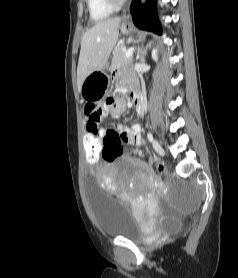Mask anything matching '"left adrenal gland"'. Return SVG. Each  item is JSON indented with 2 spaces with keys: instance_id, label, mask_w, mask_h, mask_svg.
Returning <instances> with one entry per match:
<instances>
[{
  "instance_id": "left-adrenal-gland-1",
  "label": "left adrenal gland",
  "mask_w": 238,
  "mask_h": 278,
  "mask_svg": "<svg viewBox=\"0 0 238 278\" xmlns=\"http://www.w3.org/2000/svg\"><path fill=\"white\" fill-rule=\"evenodd\" d=\"M149 45H150V44H149ZM149 45H148V46H149ZM148 46H147V47H148ZM147 47H146V49H147ZM146 49H145L144 51H142V50H139V51H138L137 56L140 57V60H144V56H145V54H146Z\"/></svg>"
}]
</instances>
